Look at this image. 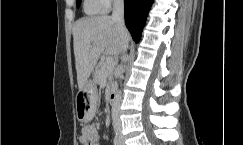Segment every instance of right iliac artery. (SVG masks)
Returning <instances> with one entry per match:
<instances>
[{
    "instance_id": "obj_1",
    "label": "right iliac artery",
    "mask_w": 243,
    "mask_h": 145,
    "mask_svg": "<svg viewBox=\"0 0 243 145\" xmlns=\"http://www.w3.org/2000/svg\"><path fill=\"white\" fill-rule=\"evenodd\" d=\"M113 142H114V145H120V140H119V137H118L117 133L114 136Z\"/></svg>"
}]
</instances>
